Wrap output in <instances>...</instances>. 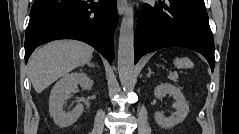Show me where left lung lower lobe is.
Masks as SVG:
<instances>
[{
  "label": "left lung lower lobe",
  "instance_id": "left-lung-lower-lobe-1",
  "mask_svg": "<svg viewBox=\"0 0 239 134\" xmlns=\"http://www.w3.org/2000/svg\"><path fill=\"white\" fill-rule=\"evenodd\" d=\"M184 47L201 53L214 70V40L204 0H159L144 4L135 39V63L146 53Z\"/></svg>",
  "mask_w": 239,
  "mask_h": 134
}]
</instances>
